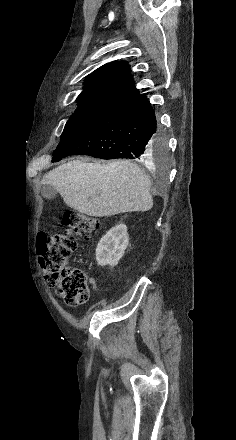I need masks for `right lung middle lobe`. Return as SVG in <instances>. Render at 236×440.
<instances>
[{
    "label": "right lung middle lobe",
    "instance_id": "dd1d6c3e",
    "mask_svg": "<svg viewBox=\"0 0 236 440\" xmlns=\"http://www.w3.org/2000/svg\"><path fill=\"white\" fill-rule=\"evenodd\" d=\"M114 107L107 105L80 103L75 113L67 121L57 148L64 145L73 137L88 129ZM167 159L166 142L160 137L155 142V148L148 161L162 163Z\"/></svg>",
    "mask_w": 236,
    "mask_h": 440
}]
</instances>
